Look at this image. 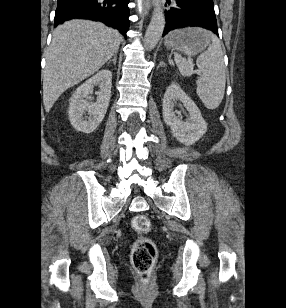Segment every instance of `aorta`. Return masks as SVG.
<instances>
[{
  "instance_id": "obj_1",
  "label": "aorta",
  "mask_w": 286,
  "mask_h": 308,
  "mask_svg": "<svg viewBox=\"0 0 286 308\" xmlns=\"http://www.w3.org/2000/svg\"><path fill=\"white\" fill-rule=\"evenodd\" d=\"M153 14L144 37V47L152 50L158 44L166 24L164 11L160 0H153Z\"/></svg>"
}]
</instances>
